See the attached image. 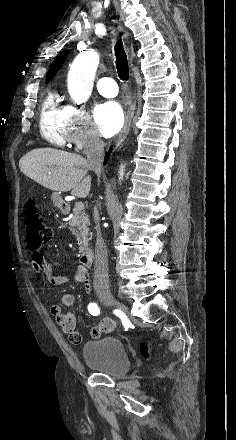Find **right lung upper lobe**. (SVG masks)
Returning a JSON list of instances; mask_svg holds the SVG:
<instances>
[{"instance_id": "1", "label": "right lung upper lobe", "mask_w": 236, "mask_h": 440, "mask_svg": "<svg viewBox=\"0 0 236 440\" xmlns=\"http://www.w3.org/2000/svg\"><path fill=\"white\" fill-rule=\"evenodd\" d=\"M68 54V51L61 52L53 61L52 65L50 66V69L46 76V82H49L57 73V71L62 67L66 56Z\"/></svg>"}]
</instances>
